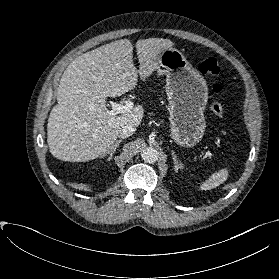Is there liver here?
<instances>
[{
	"label": "liver",
	"instance_id": "6515ba94",
	"mask_svg": "<svg viewBox=\"0 0 279 279\" xmlns=\"http://www.w3.org/2000/svg\"><path fill=\"white\" fill-rule=\"evenodd\" d=\"M174 43L149 38L136 43L139 70L133 64V45L121 39L75 58L64 71L57 91V105L47 124L51 154L63 161H89L103 157L120 130L138 127L144 109L135 106L123 115L110 116L107 97H118L134 89L140 78L149 77L158 66L160 52Z\"/></svg>",
	"mask_w": 279,
	"mask_h": 279
}]
</instances>
